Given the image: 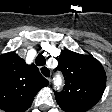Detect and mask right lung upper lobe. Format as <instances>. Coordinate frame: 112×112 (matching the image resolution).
<instances>
[{
	"instance_id": "cb5924a9",
	"label": "right lung upper lobe",
	"mask_w": 112,
	"mask_h": 112,
	"mask_svg": "<svg viewBox=\"0 0 112 112\" xmlns=\"http://www.w3.org/2000/svg\"><path fill=\"white\" fill-rule=\"evenodd\" d=\"M48 83L34 64L27 65L15 52L0 55V109L5 112H25Z\"/></svg>"
}]
</instances>
